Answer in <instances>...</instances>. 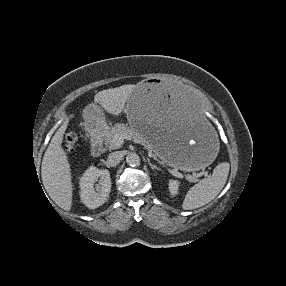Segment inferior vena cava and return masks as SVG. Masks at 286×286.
Here are the masks:
<instances>
[{
    "label": "inferior vena cava",
    "instance_id": "602c4592",
    "mask_svg": "<svg viewBox=\"0 0 286 286\" xmlns=\"http://www.w3.org/2000/svg\"><path fill=\"white\" fill-rule=\"evenodd\" d=\"M123 158V154L120 151L112 152L107 158V163L110 166H117Z\"/></svg>",
    "mask_w": 286,
    "mask_h": 286
}]
</instances>
